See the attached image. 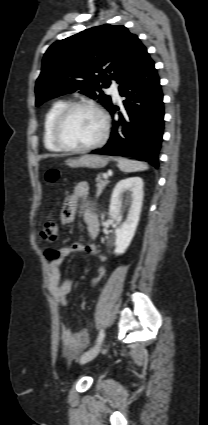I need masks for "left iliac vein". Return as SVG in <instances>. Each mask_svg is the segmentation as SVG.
I'll use <instances>...</instances> for the list:
<instances>
[{"instance_id": "left-iliac-vein-1", "label": "left iliac vein", "mask_w": 208, "mask_h": 425, "mask_svg": "<svg viewBox=\"0 0 208 425\" xmlns=\"http://www.w3.org/2000/svg\"><path fill=\"white\" fill-rule=\"evenodd\" d=\"M101 348H102V345L99 344V345L95 346L94 348L88 350L83 355H81L79 362L81 364H85V363L91 361L92 359H94L99 354V352L101 351Z\"/></svg>"}]
</instances>
